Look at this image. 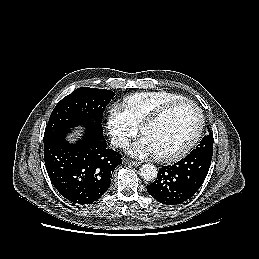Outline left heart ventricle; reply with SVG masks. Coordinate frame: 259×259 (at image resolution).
I'll use <instances>...</instances> for the list:
<instances>
[{
  "instance_id": "b2bd125f",
  "label": "left heart ventricle",
  "mask_w": 259,
  "mask_h": 259,
  "mask_svg": "<svg viewBox=\"0 0 259 259\" xmlns=\"http://www.w3.org/2000/svg\"><path fill=\"white\" fill-rule=\"evenodd\" d=\"M197 111L189 105H180L160 121L144 128L142 135L151 143L155 155H164L181 148L195 133Z\"/></svg>"
}]
</instances>
